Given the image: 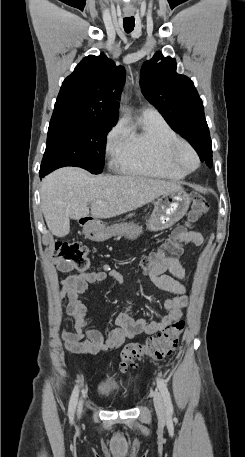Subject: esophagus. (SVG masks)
<instances>
[{
  "mask_svg": "<svg viewBox=\"0 0 245 457\" xmlns=\"http://www.w3.org/2000/svg\"><path fill=\"white\" fill-rule=\"evenodd\" d=\"M125 17H130L131 15H133V12H130V13H124Z\"/></svg>",
  "mask_w": 245,
  "mask_h": 457,
  "instance_id": "esophagus-1",
  "label": "esophagus"
}]
</instances>
